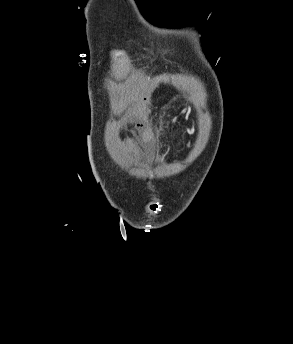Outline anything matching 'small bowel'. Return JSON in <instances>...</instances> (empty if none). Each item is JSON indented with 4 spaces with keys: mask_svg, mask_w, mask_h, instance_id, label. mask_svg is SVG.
I'll use <instances>...</instances> for the list:
<instances>
[{
    "mask_svg": "<svg viewBox=\"0 0 293 344\" xmlns=\"http://www.w3.org/2000/svg\"><path fill=\"white\" fill-rule=\"evenodd\" d=\"M139 144L147 150H150L154 145V131L146 128L139 135Z\"/></svg>",
    "mask_w": 293,
    "mask_h": 344,
    "instance_id": "c3829d8e",
    "label": "small bowel"
}]
</instances>
